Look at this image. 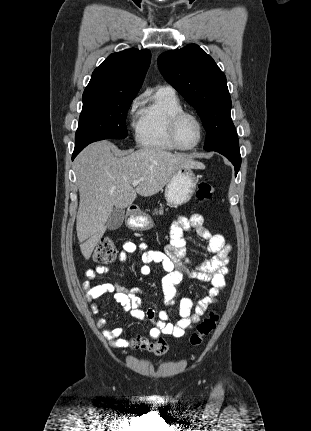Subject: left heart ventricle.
Masks as SVG:
<instances>
[{"label": "left heart ventricle", "instance_id": "1", "mask_svg": "<svg viewBox=\"0 0 311 431\" xmlns=\"http://www.w3.org/2000/svg\"><path fill=\"white\" fill-rule=\"evenodd\" d=\"M178 135L182 145H194L201 135V127L197 119L193 116L184 117L180 122Z\"/></svg>", "mask_w": 311, "mask_h": 431}]
</instances>
